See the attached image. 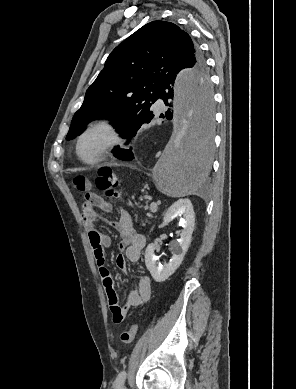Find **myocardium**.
Wrapping results in <instances>:
<instances>
[{"instance_id": "myocardium-1", "label": "myocardium", "mask_w": 296, "mask_h": 389, "mask_svg": "<svg viewBox=\"0 0 296 389\" xmlns=\"http://www.w3.org/2000/svg\"><path fill=\"white\" fill-rule=\"evenodd\" d=\"M99 133L104 137V142L93 157L83 155L81 147L84 139L91 134ZM121 141V134L116 124L109 119L97 120L87 125L79 134L76 141V154L78 158L87 164H95L101 161L110 151H112Z\"/></svg>"}]
</instances>
